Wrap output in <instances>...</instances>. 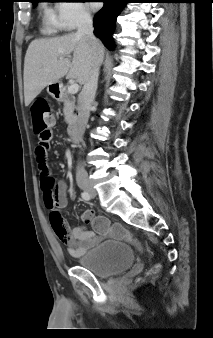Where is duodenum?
<instances>
[{
  "label": "duodenum",
  "mask_w": 213,
  "mask_h": 338,
  "mask_svg": "<svg viewBox=\"0 0 213 338\" xmlns=\"http://www.w3.org/2000/svg\"><path fill=\"white\" fill-rule=\"evenodd\" d=\"M60 87L59 86H56L54 88V95L56 97H59L60 95ZM74 115L77 116L78 115V110H75L74 111ZM77 129H78V122L77 120H73L70 124V132H71V135L73 136V138H77Z\"/></svg>",
  "instance_id": "1"
}]
</instances>
